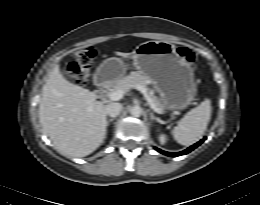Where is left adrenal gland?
<instances>
[{"instance_id": "obj_1", "label": "left adrenal gland", "mask_w": 260, "mask_h": 205, "mask_svg": "<svg viewBox=\"0 0 260 205\" xmlns=\"http://www.w3.org/2000/svg\"><path fill=\"white\" fill-rule=\"evenodd\" d=\"M148 112H149V114H150V120H155V117H154V115H153V113L152 112H150V110H148Z\"/></svg>"}]
</instances>
